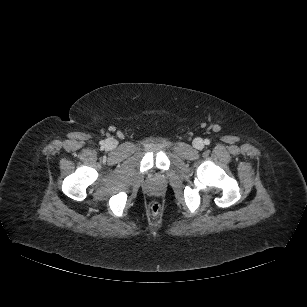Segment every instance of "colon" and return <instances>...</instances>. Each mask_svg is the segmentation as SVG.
I'll return each mask as SVG.
<instances>
[{"label":"colon","instance_id":"obj_1","mask_svg":"<svg viewBox=\"0 0 307 307\" xmlns=\"http://www.w3.org/2000/svg\"><path fill=\"white\" fill-rule=\"evenodd\" d=\"M149 209L153 214H157L160 211V204L157 202H152L149 205Z\"/></svg>","mask_w":307,"mask_h":307}]
</instances>
